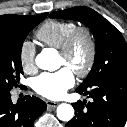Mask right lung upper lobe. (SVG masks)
<instances>
[{
  "label": "right lung upper lobe",
  "mask_w": 127,
  "mask_h": 127,
  "mask_svg": "<svg viewBox=\"0 0 127 127\" xmlns=\"http://www.w3.org/2000/svg\"><path fill=\"white\" fill-rule=\"evenodd\" d=\"M46 15H48V13H44ZM35 15L33 16H29V15H26V16H23V15H2L0 16V25H14V24H18V23H21V22H24L28 19H31L32 17H34Z\"/></svg>",
  "instance_id": "obj_1"
}]
</instances>
